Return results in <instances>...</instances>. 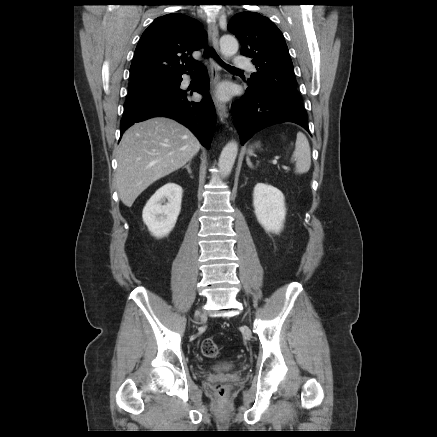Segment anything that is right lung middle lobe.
<instances>
[{
	"label": "right lung middle lobe",
	"mask_w": 437,
	"mask_h": 437,
	"mask_svg": "<svg viewBox=\"0 0 437 437\" xmlns=\"http://www.w3.org/2000/svg\"><path fill=\"white\" fill-rule=\"evenodd\" d=\"M175 80L176 78L166 77L131 80L128 98H134L168 89L173 85Z\"/></svg>",
	"instance_id": "right-lung-middle-lobe-1"
}]
</instances>
